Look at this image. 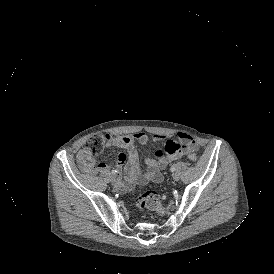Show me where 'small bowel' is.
I'll use <instances>...</instances> for the list:
<instances>
[{
	"mask_svg": "<svg viewBox=\"0 0 274 274\" xmlns=\"http://www.w3.org/2000/svg\"><path fill=\"white\" fill-rule=\"evenodd\" d=\"M177 139L185 144V153L188 154L196 152L198 143L190 136L179 133ZM164 139L163 135H155V141ZM149 136L147 133L139 131L130 136H114L107 134L104 137L106 146H116L126 150L121 152L117 157L118 167L124 166L125 178L122 181L117 179V187L123 191H130L134 188L135 184L146 185L149 181L159 183L162 181L163 176L161 170L167 165H171L174 161L180 160L183 157V147L179 142L166 141L159 145L155 152V160L146 159V171L141 173L139 165V154L134 145V142L144 145L148 142ZM77 160L80 168L87 173H94L107 169L104 162L96 161L92 154L87 149H82L77 155Z\"/></svg>",
	"mask_w": 274,
	"mask_h": 274,
	"instance_id": "small-bowel-1",
	"label": "small bowel"
}]
</instances>
